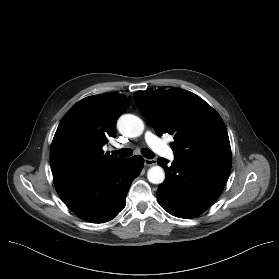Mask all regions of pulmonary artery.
I'll use <instances>...</instances> for the list:
<instances>
[{"instance_id": "obj_1", "label": "pulmonary artery", "mask_w": 279, "mask_h": 279, "mask_svg": "<svg viewBox=\"0 0 279 279\" xmlns=\"http://www.w3.org/2000/svg\"><path fill=\"white\" fill-rule=\"evenodd\" d=\"M145 140L155 152L162 155L163 157L168 159L174 157V153L171 148L151 131L145 132Z\"/></svg>"}]
</instances>
